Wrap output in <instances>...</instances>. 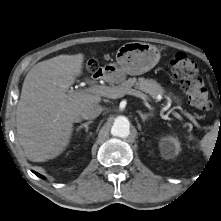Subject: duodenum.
<instances>
[{
  "instance_id": "1",
  "label": "duodenum",
  "mask_w": 221,
  "mask_h": 221,
  "mask_svg": "<svg viewBox=\"0 0 221 221\" xmlns=\"http://www.w3.org/2000/svg\"><path fill=\"white\" fill-rule=\"evenodd\" d=\"M106 74L104 73L103 70H98L96 72H94L93 77L95 80H104L105 79Z\"/></svg>"
}]
</instances>
